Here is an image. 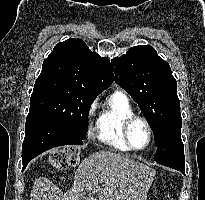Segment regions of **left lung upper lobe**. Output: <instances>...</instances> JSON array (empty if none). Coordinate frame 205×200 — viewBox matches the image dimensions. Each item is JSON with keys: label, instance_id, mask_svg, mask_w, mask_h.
<instances>
[{"label": "left lung upper lobe", "instance_id": "left-lung-upper-lobe-1", "mask_svg": "<svg viewBox=\"0 0 205 200\" xmlns=\"http://www.w3.org/2000/svg\"><path fill=\"white\" fill-rule=\"evenodd\" d=\"M115 81L138 103L154 133L156 147L167 124L180 114L177 82L169 64L151 46H135L111 60Z\"/></svg>", "mask_w": 205, "mask_h": 200}]
</instances>
